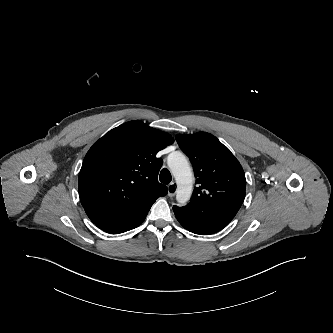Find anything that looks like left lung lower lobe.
<instances>
[{
    "label": "left lung lower lobe",
    "instance_id": "obj_1",
    "mask_svg": "<svg viewBox=\"0 0 333 333\" xmlns=\"http://www.w3.org/2000/svg\"><path fill=\"white\" fill-rule=\"evenodd\" d=\"M242 202L238 196H224L205 202H189L174 206L180 224L190 232L210 235L222 230L234 218Z\"/></svg>",
    "mask_w": 333,
    "mask_h": 333
}]
</instances>
